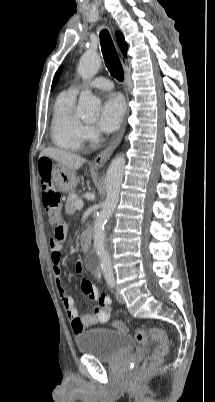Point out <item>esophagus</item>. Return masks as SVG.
Returning a JSON list of instances; mask_svg holds the SVG:
<instances>
[{"label":"esophagus","instance_id":"obj_1","mask_svg":"<svg viewBox=\"0 0 215 402\" xmlns=\"http://www.w3.org/2000/svg\"><path fill=\"white\" fill-rule=\"evenodd\" d=\"M122 65L125 66L126 65V59L125 57L121 54L120 56ZM129 114V110H127V114H126V118L128 117ZM126 119L123 123V126L119 132V134L117 135V137L113 140V142L107 147L105 148L100 154H98L94 161H93V165L95 167H102L106 161L110 158L112 152L114 151V149L117 147V145L121 142L123 135L125 133V129H126Z\"/></svg>","mask_w":215,"mask_h":402}]
</instances>
